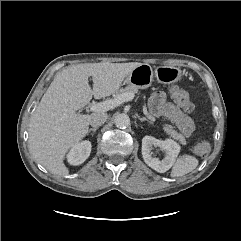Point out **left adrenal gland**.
<instances>
[{
	"label": "left adrenal gland",
	"mask_w": 241,
	"mask_h": 241,
	"mask_svg": "<svg viewBox=\"0 0 241 241\" xmlns=\"http://www.w3.org/2000/svg\"><path fill=\"white\" fill-rule=\"evenodd\" d=\"M138 119H139L141 122L147 121V122H149V123H152L149 119H147V118H145V117H140V116H138Z\"/></svg>",
	"instance_id": "obj_1"
}]
</instances>
